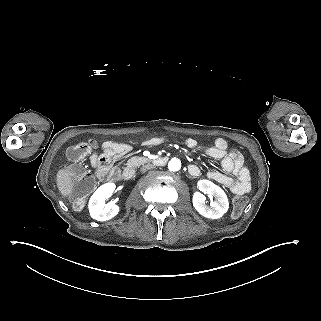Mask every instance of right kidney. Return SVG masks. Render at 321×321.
Masks as SVG:
<instances>
[{
	"label": "right kidney",
	"mask_w": 321,
	"mask_h": 321,
	"mask_svg": "<svg viewBox=\"0 0 321 321\" xmlns=\"http://www.w3.org/2000/svg\"><path fill=\"white\" fill-rule=\"evenodd\" d=\"M115 183H105L91 196L88 208L91 218L97 221H107L114 218L121 210L119 205L112 202L105 203L115 193Z\"/></svg>",
	"instance_id": "obj_1"
}]
</instances>
